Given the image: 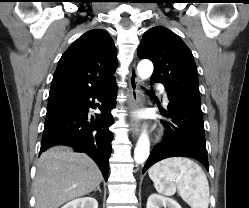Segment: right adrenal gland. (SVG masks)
Listing matches in <instances>:
<instances>
[{"instance_id":"obj_1","label":"right adrenal gland","mask_w":249,"mask_h":208,"mask_svg":"<svg viewBox=\"0 0 249 208\" xmlns=\"http://www.w3.org/2000/svg\"><path fill=\"white\" fill-rule=\"evenodd\" d=\"M96 191H99L100 193H102V190L100 189L99 186L94 190V193H95Z\"/></svg>"}]
</instances>
